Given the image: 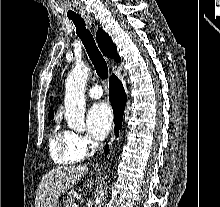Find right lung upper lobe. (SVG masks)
Instances as JSON below:
<instances>
[{
  "instance_id": "obj_1",
  "label": "right lung upper lobe",
  "mask_w": 220,
  "mask_h": 207,
  "mask_svg": "<svg viewBox=\"0 0 220 207\" xmlns=\"http://www.w3.org/2000/svg\"><path fill=\"white\" fill-rule=\"evenodd\" d=\"M96 38H97L98 46L105 56L114 59L116 62H119L121 60L117 54L116 45L112 42L109 35L105 33L101 28L98 29V32L96 33ZM53 117H54V112L53 109L50 108L49 118L53 119Z\"/></svg>"
}]
</instances>
